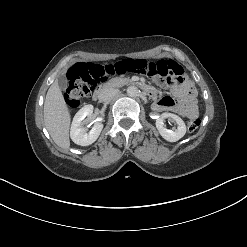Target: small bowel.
<instances>
[{"label": "small bowel", "instance_id": "c3829d8e", "mask_svg": "<svg viewBox=\"0 0 247 247\" xmlns=\"http://www.w3.org/2000/svg\"><path fill=\"white\" fill-rule=\"evenodd\" d=\"M137 73L170 90V96H164L154 103L155 111H171L189 119L197 116L195 90L178 63L172 60H145L143 68ZM152 96H155V92H152Z\"/></svg>", "mask_w": 247, "mask_h": 247}]
</instances>
